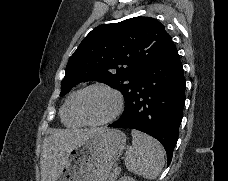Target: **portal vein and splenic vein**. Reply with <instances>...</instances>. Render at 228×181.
Returning <instances> with one entry per match:
<instances>
[{"instance_id":"portal-vein-and-splenic-vein-1","label":"portal vein and splenic vein","mask_w":228,"mask_h":181,"mask_svg":"<svg viewBox=\"0 0 228 181\" xmlns=\"http://www.w3.org/2000/svg\"><path fill=\"white\" fill-rule=\"evenodd\" d=\"M113 167H114L115 169H119L120 171L123 169L121 166L119 167L118 164H115Z\"/></svg>"}]
</instances>
